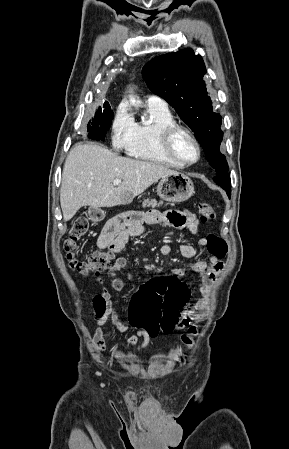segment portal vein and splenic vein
Masks as SVG:
<instances>
[{"instance_id": "obj_1", "label": "portal vein and splenic vein", "mask_w": 289, "mask_h": 449, "mask_svg": "<svg viewBox=\"0 0 289 449\" xmlns=\"http://www.w3.org/2000/svg\"><path fill=\"white\" fill-rule=\"evenodd\" d=\"M121 183V180L120 179H115L114 181H113V185L114 186H117V185H119Z\"/></svg>"}]
</instances>
